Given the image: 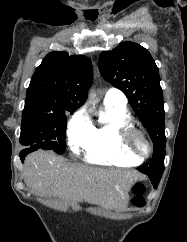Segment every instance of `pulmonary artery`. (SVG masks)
I'll return each mask as SVG.
<instances>
[{"instance_id":"pulmonary-artery-1","label":"pulmonary artery","mask_w":187,"mask_h":242,"mask_svg":"<svg viewBox=\"0 0 187 242\" xmlns=\"http://www.w3.org/2000/svg\"><path fill=\"white\" fill-rule=\"evenodd\" d=\"M103 102L106 104L126 105L127 100L120 90L111 88L106 92Z\"/></svg>"}]
</instances>
